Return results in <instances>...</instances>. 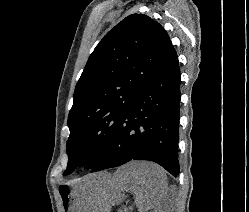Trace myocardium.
I'll return each mask as SVG.
<instances>
[{"label": "myocardium", "instance_id": "f54148a6", "mask_svg": "<svg viewBox=\"0 0 249 212\" xmlns=\"http://www.w3.org/2000/svg\"><path fill=\"white\" fill-rule=\"evenodd\" d=\"M104 152V145L100 142H92L84 147L81 157L85 161H94Z\"/></svg>", "mask_w": 249, "mask_h": 212}]
</instances>
